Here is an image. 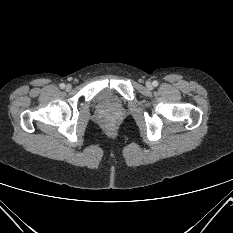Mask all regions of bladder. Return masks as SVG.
Wrapping results in <instances>:
<instances>
[{
  "mask_svg": "<svg viewBox=\"0 0 233 233\" xmlns=\"http://www.w3.org/2000/svg\"><path fill=\"white\" fill-rule=\"evenodd\" d=\"M112 95L113 93L109 88H103L98 92L96 99L100 103H106L111 100Z\"/></svg>",
  "mask_w": 233,
  "mask_h": 233,
  "instance_id": "obj_1",
  "label": "bladder"
}]
</instances>
